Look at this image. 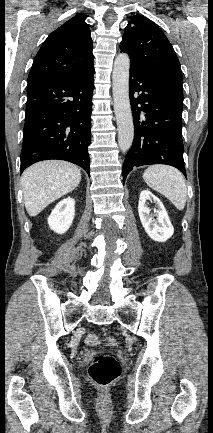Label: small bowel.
Returning a JSON list of instances; mask_svg holds the SVG:
<instances>
[{
    "label": "small bowel",
    "instance_id": "c3829d8e",
    "mask_svg": "<svg viewBox=\"0 0 213 433\" xmlns=\"http://www.w3.org/2000/svg\"><path fill=\"white\" fill-rule=\"evenodd\" d=\"M98 342V337L94 333H90L86 338V343L88 345H96Z\"/></svg>",
    "mask_w": 213,
    "mask_h": 433
}]
</instances>
